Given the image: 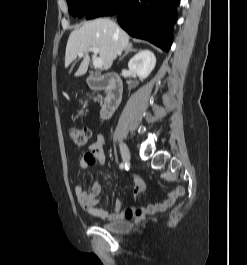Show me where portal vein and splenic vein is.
<instances>
[{
    "label": "portal vein and splenic vein",
    "mask_w": 247,
    "mask_h": 265,
    "mask_svg": "<svg viewBox=\"0 0 247 265\" xmlns=\"http://www.w3.org/2000/svg\"><path fill=\"white\" fill-rule=\"evenodd\" d=\"M88 50L91 51V52H93V54H94L93 66L95 68H102V66H103V60L101 58H98L97 57V54L99 52V49L97 47H90ZM78 55L79 56H83V52H80Z\"/></svg>",
    "instance_id": "18ae733b"
}]
</instances>
